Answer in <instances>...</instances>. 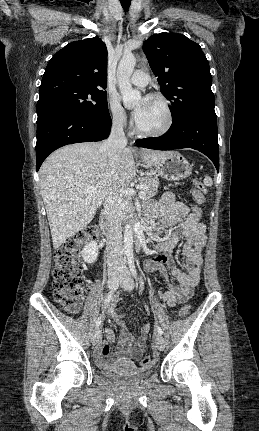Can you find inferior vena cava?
Returning <instances> with one entry per match:
<instances>
[{
  "instance_id": "obj_1",
  "label": "inferior vena cava",
  "mask_w": 259,
  "mask_h": 431,
  "mask_svg": "<svg viewBox=\"0 0 259 431\" xmlns=\"http://www.w3.org/2000/svg\"><path fill=\"white\" fill-rule=\"evenodd\" d=\"M127 139L123 130V120H115L111 133L105 140L100 150L107 151L112 166L120 159L121 151L126 147ZM104 208L108 217V229L106 234V251L109 266H122V210L119 197L116 193L110 192L106 199Z\"/></svg>"
}]
</instances>
